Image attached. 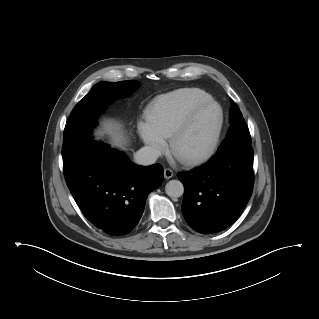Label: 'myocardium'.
<instances>
[{
    "instance_id": "myocardium-1",
    "label": "myocardium",
    "mask_w": 319,
    "mask_h": 319,
    "mask_svg": "<svg viewBox=\"0 0 319 319\" xmlns=\"http://www.w3.org/2000/svg\"><path fill=\"white\" fill-rule=\"evenodd\" d=\"M210 106L217 107V109L219 111V117H220L219 124H218L217 130H216V133L213 137L211 145L209 146V148L206 151L198 153V154H192V155L181 154L178 151L179 142L190 131V129L192 128L198 115L203 110H205L206 108H208ZM224 125H225V113H224L223 107L218 102L214 101L213 99H210L206 102H203V103L195 106L191 110V112L188 114L187 118L180 125V127L170 137V151H171V153L174 155V157L178 161H180L182 164H185V165H190V166L191 165H198V164H201V163L208 161L210 158H212L215 155V153L218 150L221 136H222L223 129H224Z\"/></svg>"
}]
</instances>
